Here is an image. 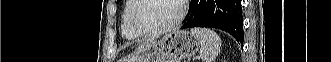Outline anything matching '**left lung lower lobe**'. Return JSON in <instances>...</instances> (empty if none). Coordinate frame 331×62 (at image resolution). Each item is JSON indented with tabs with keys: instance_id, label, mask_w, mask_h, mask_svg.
<instances>
[{
	"instance_id": "1",
	"label": "left lung lower lobe",
	"mask_w": 331,
	"mask_h": 62,
	"mask_svg": "<svg viewBox=\"0 0 331 62\" xmlns=\"http://www.w3.org/2000/svg\"><path fill=\"white\" fill-rule=\"evenodd\" d=\"M191 13L181 27H210L230 33L243 45V16L241 0H191Z\"/></svg>"
}]
</instances>
